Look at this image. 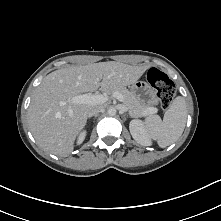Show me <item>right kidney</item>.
<instances>
[{"mask_svg": "<svg viewBox=\"0 0 221 221\" xmlns=\"http://www.w3.org/2000/svg\"><path fill=\"white\" fill-rule=\"evenodd\" d=\"M86 134H87L86 130L82 131V132L79 134V136H78V138H77V145L82 144V142L84 141V139H85V137H86Z\"/></svg>", "mask_w": 221, "mask_h": 221, "instance_id": "obj_1", "label": "right kidney"}]
</instances>
